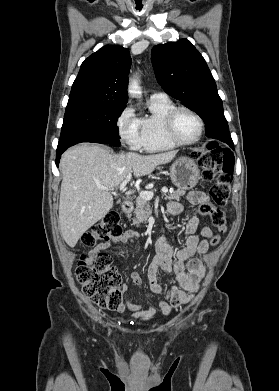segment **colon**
I'll use <instances>...</instances> for the list:
<instances>
[{"instance_id":"colon-1","label":"colon","mask_w":279,"mask_h":391,"mask_svg":"<svg viewBox=\"0 0 279 391\" xmlns=\"http://www.w3.org/2000/svg\"><path fill=\"white\" fill-rule=\"evenodd\" d=\"M192 158L200 166L202 176L206 181H214L210 196L214 205L199 207L201 214L210 216L213 226L220 232L227 230V218L224 211L233 180L234 156L226 148L216 142H210L203 150H196ZM122 234L120 214L117 211L108 212L100 221L82 236V243L92 247L97 242L113 243ZM220 237L211 238L212 246H217ZM76 278L82 292L93 304L100 308L118 309L122 300L121 277L112 265L111 258L106 253H99L95 258L83 256L76 268Z\"/></svg>"}]
</instances>
